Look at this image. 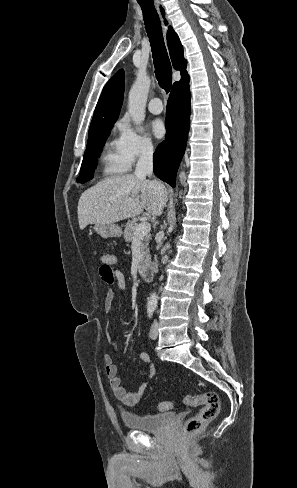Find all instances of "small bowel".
I'll return each mask as SVG.
<instances>
[{
  "mask_svg": "<svg viewBox=\"0 0 297 488\" xmlns=\"http://www.w3.org/2000/svg\"><path fill=\"white\" fill-rule=\"evenodd\" d=\"M108 256L112 259L110 261V265L112 267V265L116 263V256L113 254H108ZM109 285L113 287H111L106 294L105 308L107 311L112 309L116 298V290H123L126 287V280L123 273L119 270H113V282ZM110 340L113 348L117 350L116 339L114 337H110ZM138 358L142 363L149 364L147 373L148 378L142 383L137 391H128L118 376V366L114 362L112 355L108 353L104 355L105 373L109 381V386L112 389L115 397L127 406H134L140 402L148 386L149 379L154 377L157 371L156 365L151 363L150 357L147 353H141Z\"/></svg>",
  "mask_w": 297,
  "mask_h": 488,
  "instance_id": "small-bowel-1",
  "label": "small bowel"
}]
</instances>
